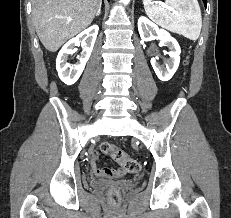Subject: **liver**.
<instances>
[{"mask_svg":"<svg viewBox=\"0 0 231 218\" xmlns=\"http://www.w3.org/2000/svg\"><path fill=\"white\" fill-rule=\"evenodd\" d=\"M101 4L102 0H32V20L41 43L57 51L92 23Z\"/></svg>","mask_w":231,"mask_h":218,"instance_id":"1","label":"liver"}]
</instances>
